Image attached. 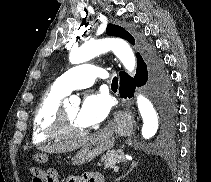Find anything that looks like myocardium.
<instances>
[{
	"label": "myocardium",
	"mask_w": 211,
	"mask_h": 182,
	"mask_svg": "<svg viewBox=\"0 0 211 182\" xmlns=\"http://www.w3.org/2000/svg\"><path fill=\"white\" fill-rule=\"evenodd\" d=\"M51 132L56 135L58 138L64 139H78L87 135L88 131L86 129L74 131L72 130L67 122L64 107L59 106L54 116Z\"/></svg>",
	"instance_id": "obj_1"
}]
</instances>
